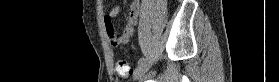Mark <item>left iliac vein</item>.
I'll return each mask as SVG.
<instances>
[{
	"label": "left iliac vein",
	"instance_id": "left-iliac-vein-1",
	"mask_svg": "<svg viewBox=\"0 0 279 82\" xmlns=\"http://www.w3.org/2000/svg\"><path fill=\"white\" fill-rule=\"evenodd\" d=\"M150 68V65L147 63H140L134 70V78L138 79L143 76Z\"/></svg>",
	"mask_w": 279,
	"mask_h": 82
}]
</instances>
